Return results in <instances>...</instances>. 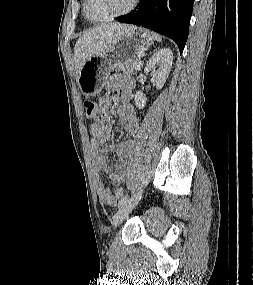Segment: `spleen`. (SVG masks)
Listing matches in <instances>:
<instances>
[{
	"mask_svg": "<svg viewBox=\"0 0 253 285\" xmlns=\"http://www.w3.org/2000/svg\"><path fill=\"white\" fill-rule=\"evenodd\" d=\"M152 36H153L154 40H156L158 42L162 41V38H161V36L159 34L152 32Z\"/></svg>",
	"mask_w": 253,
	"mask_h": 285,
	"instance_id": "1",
	"label": "spleen"
}]
</instances>
